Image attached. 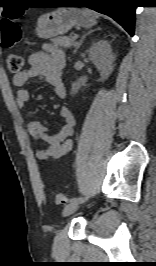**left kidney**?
<instances>
[{"mask_svg": "<svg viewBox=\"0 0 156 266\" xmlns=\"http://www.w3.org/2000/svg\"><path fill=\"white\" fill-rule=\"evenodd\" d=\"M89 58L97 67L103 79H106L113 70L114 56L110 43L99 40L89 49Z\"/></svg>", "mask_w": 156, "mask_h": 266, "instance_id": "left-kidney-1", "label": "left kidney"}]
</instances>
